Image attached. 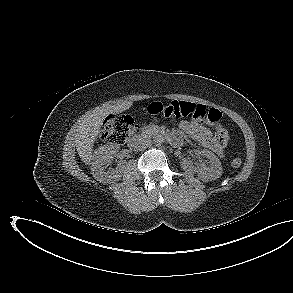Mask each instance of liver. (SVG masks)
<instances>
[{
	"instance_id": "6515ba94",
	"label": "liver",
	"mask_w": 293,
	"mask_h": 293,
	"mask_svg": "<svg viewBox=\"0 0 293 293\" xmlns=\"http://www.w3.org/2000/svg\"><path fill=\"white\" fill-rule=\"evenodd\" d=\"M131 106V101H124L117 105L95 109L79 120L75 129V143L78 155L85 164H90L92 160L94 142L100 134L104 119L110 114H119Z\"/></svg>"
}]
</instances>
